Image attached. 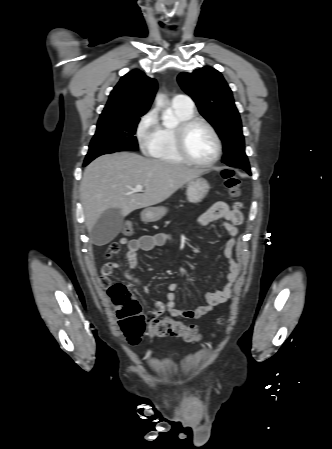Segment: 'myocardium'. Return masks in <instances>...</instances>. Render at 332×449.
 <instances>
[{"label":"myocardium","mask_w":332,"mask_h":449,"mask_svg":"<svg viewBox=\"0 0 332 449\" xmlns=\"http://www.w3.org/2000/svg\"><path fill=\"white\" fill-rule=\"evenodd\" d=\"M201 124L205 126L210 133L212 134L215 145H216V151L214 157L207 161V162H201L197 161L194 158H192L187 150L186 147V135L188 130L193 127L194 125ZM174 142H175V148L179 156L184 160V162H187L191 165L197 166V167H211L215 163L218 162V160L221 157L222 154V142L220 139V136L216 129L213 127L211 123H209L207 120L198 118V117H191L187 120H184L180 123H178L175 127L174 131Z\"/></svg>","instance_id":"f54148a6"}]
</instances>
